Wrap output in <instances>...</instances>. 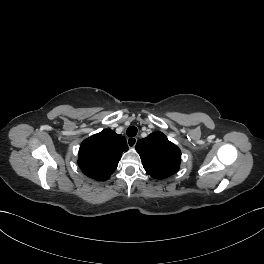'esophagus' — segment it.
I'll list each match as a JSON object with an SVG mask.
<instances>
[{"mask_svg": "<svg viewBox=\"0 0 264 264\" xmlns=\"http://www.w3.org/2000/svg\"><path fill=\"white\" fill-rule=\"evenodd\" d=\"M137 138L136 137H129L127 138V144L129 147H135L136 143H137Z\"/></svg>", "mask_w": 264, "mask_h": 264, "instance_id": "34e87169", "label": "esophagus"}]
</instances>
